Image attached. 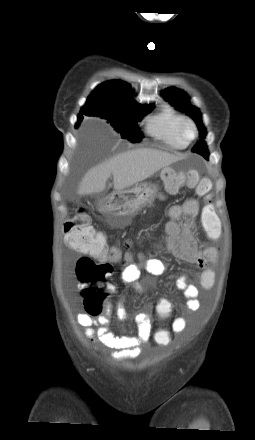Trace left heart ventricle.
<instances>
[{"label": "left heart ventricle", "instance_id": "b2bd125f", "mask_svg": "<svg viewBox=\"0 0 255 440\" xmlns=\"http://www.w3.org/2000/svg\"><path fill=\"white\" fill-rule=\"evenodd\" d=\"M187 133H188V134L190 135V134H191V131H190V130H188V131H187Z\"/></svg>", "mask_w": 255, "mask_h": 440}]
</instances>
